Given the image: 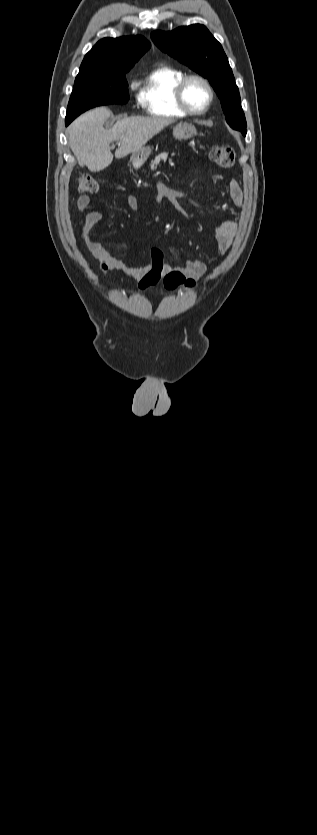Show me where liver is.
I'll use <instances>...</instances> for the list:
<instances>
[{
    "mask_svg": "<svg viewBox=\"0 0 317 835\" xmlns=\"http://www.w3.org/2000/svg\"><path fill=\"white\" fill-rule=\"evenodd\" d=\"M112 112L100 107L90 110L69 127V145L80 166L92 172L103 170L113 161L110 144L119 142L115 157L120 159L138 152L150 139L171 121L162 118L126 117L116 121L110 129L103 127Z\"/></svg>",
    "mask_w": 317,
    "mask_h": 835,
    "instance_id": "obj_1",
    "label": "liver"
}]
</instances>
